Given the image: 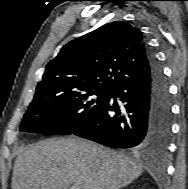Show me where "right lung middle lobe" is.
Listing matches in <instances>:
<instances>
[{
  "label": "right lung middle lobe",
  "instance_id": "1",
  "mask_svg": "<svg viewBox=\"0 0 188 189\" xmlns=\"http://www.w3.org/2000/svg\"><path fill=\"white\" fill-rule=\"evenodd\" d=\"M111 89L86 88L35 95L20 131L69 135L83 126L102 105Z\"/></svg>",
  "mask_w": 188,
  "mask_h": 189
}]
</instances>
